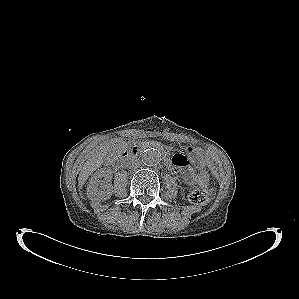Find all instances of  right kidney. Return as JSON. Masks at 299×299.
Here are the masks:
<instances>
[{"mask_svg": "<svg viewBox=\"0 0 299 299\" xmlns=\"http://www.w3.org/2000/svg\"><path fill=\"white\" fill-rule=\"evenodd\" d=\"M104 180H101L102 178ZM111 173L109 170L100 169L89 179L87 185V196L91 200L104 201L112 195Z\"/></svg>", "mask_w": 299, "mask_h": 299, "instance_id": "1", "label": "right kidney"}]
</instances>
